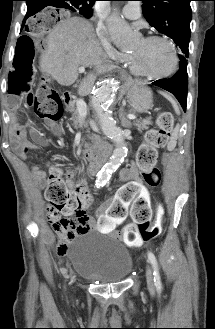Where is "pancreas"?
I'll use <instances>...</instances> for the list:
<instances>
[{
	"instance_id": "pancreas-1",
	"label": "pancreas",
	"mask_w": 215,
	"mask_h": 329,
	"mask_svg": "<svg viewBox=\"0 0 215 329\" xmlns=\"http://www.w3.org/2000/svg\"><path fill=\"white\" fill-rule=\"evenodd\" d=\"M70 111L72 112V126L75 129H81L83 127H86L87 124L85 122V120L80 116L77 108L75 107V105L72 103L70 105ZM152 122L150 119H143V120H137L133 123L134 126L137 127L138 131H142V130H147L149 128V125H151Z\"/></svg>"
}]
</instances>
